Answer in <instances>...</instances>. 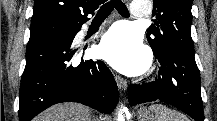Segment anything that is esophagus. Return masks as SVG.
I'll list each match as a JSON object with an SVG mask.
<instances>
[{
	"label": "esophagus",
	"mask_w": 217,
	"mask_h": 121,
	"mask_svg": "<svg viewBox=\"0 0 217 121\" xmlns=\"http://www.w3.org/2000/svg\"><path fill=\"white\" fill-rule=\"evenodd\" d=\"M114 77H115V81L117 83L118 88L121 91H126L127 90V81L117 74H115Z\"/></svg>",
	"instance_id": "34e87169"
}]
</instances>
